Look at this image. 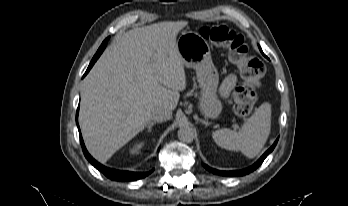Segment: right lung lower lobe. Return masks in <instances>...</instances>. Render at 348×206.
<instances>
[{
  "mask_svg": "<svg viewBox=\"0 0 348 206\" xmlns=\"http://www.w3.org/2000/svg\"><path fill=\"white\" fill-rule=\"evenodd\" d=\"M109 39V38H108ZM108 39L106 38L104 40V42L101 44L100 48L98 49L97 53L95 54V56L93 57V59L91 60L84 76L89 72V70L92 68V66L94 65V63L96 62V60L99 58V56L101 55V53L103 52V50L105 49L106 43L108 41ZM83 76V77H84ZM77 116H78V110H77ZM77 126H78V130H79V135H80V142H81V146L84 152L85 157L87 158V160L99 171H101L102 173L105 174L106 177L112 179V180H116V181H133V180H137V179H141L146 177L147 175H149L153 170L146 172V173H139V172H129V171H119V170H114V169H110L107 168L103 165H101L100 163H98L96 160H94L90 154L88 153V151L85 148L81 133H80V128L78 125V121L76 120Z\"/></svg>",
  "mask_w": 348,
  "mask_h": 206,
  "instance_id": "obj_1",
  "label": "right lung lower lobe"
}]
</instances>
